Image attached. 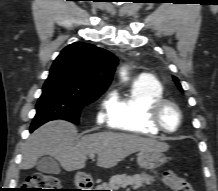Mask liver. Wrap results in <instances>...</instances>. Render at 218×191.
<instances>
[{
  "mask_svg": "<svg viewBox=\"0 0 218 191\" xmlns=\"http://www.w3.org/2000/svg\"><path fill=\"white\" fill-rule=\"evenodd\" d=\"M76 127L64 120L48 122L29 137L23 150L21 169H31L44 155L55 157L66 171L85 167L88 155L97 154V166L111 168L137 151L169 149L166 143L135 134L98 132L83 136L76 144Z\"/></svg>",
  "mask_w": 218,
  "mask_h": 191,
  "instance_id": "liver-1",
  "label": "liver"
}]
</instances>
